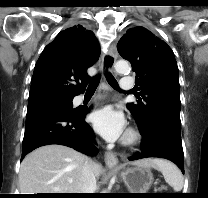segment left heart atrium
<instances>
[{"label": "left heart atrium", "mask_w": 208, "mask_h": 198, "mask_svg": "<svg viewBox=\"0 0 208 198\" xmlns=\"http://www.w3.org/2000/svg\"><path fill=\"white\" fill-rule=\"evenodd\" d=\"M91 122L95 131L108 141L119 139L126 129L124 114L112 106H105L93 112Z\"/></svg>", "instance_id": "1"}]
</instances>
